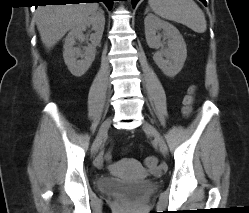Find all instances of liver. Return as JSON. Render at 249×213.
<instances>
[{"label": "liver", "mask_w": 249, "mask_h": 213, "mask_svg": "<svg viewBox=\"0 0 249 213\" xmlns=\"http://www.w3.org/2000/svg\"><path fill=\"white\" fill-rule=\"evenodd\" d=\"M98 8L97 2L38 6L35 19L41 41L51 49L70 29L96 13Z\"/></svg>", "instance_id": "1"}]
</instances>
